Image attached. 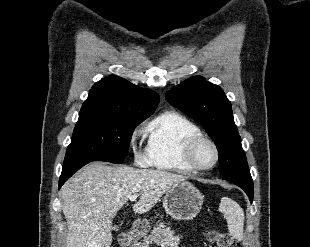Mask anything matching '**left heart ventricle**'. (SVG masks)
I'll use <instances>...</instances> for the list:
<instances>
[{"label": "left heart ventricle", "instance_id": "obj_1", "mask_svg": "<svg viewBox=\"0 0 310 247\" xmlns=\"http://www.w3.org/2000/svg\"><path fill=\"white\" fill-rule=\"evenodd\" d=\"M215 158L214 150L208 143H201L194 152V160L200 166H208Z\"/></svg>", "mask_w": 310, "mask_h": 247}]
</instances>
